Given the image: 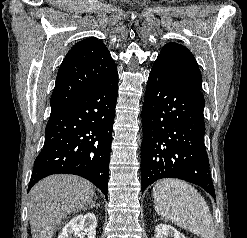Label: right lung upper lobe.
Here are the masks:
<instances>
[{"label": "right lung upper lobe", "mask_w": 247, "mask_h": 238, "mask_svg": "<svg viewBox=\"0 0 247 238\" xmlns=\"http://www.w3.org/2000/svg\"><path fill=\"white\" fill-rule=\"evenodd\" d=\"M116 73L111 55L96 37L75 44L64 58L51 96V112L75 101Z\"/></svg>", "instance_id": "cb5924a9"}]
</instances>
